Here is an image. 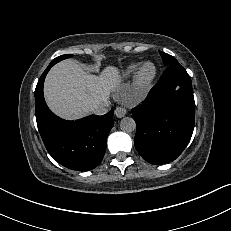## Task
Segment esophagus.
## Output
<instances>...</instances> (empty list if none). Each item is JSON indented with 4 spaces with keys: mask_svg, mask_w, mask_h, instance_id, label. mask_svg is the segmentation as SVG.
Segmentation results:
<instances>
[{
    "mask_svg": "<svg viewBox=\"0 0 231 231\" xmlns=\"http://www.w3.org/2000/svg\"><path fill=\"white\" fill-rule=\"evenodd\" d=\"M116 117L122 118L127 114V109L125 107H117L114 111Z\"/></svg>",
    "mask_w": 231,
    "mask_h": 231,
    "instance_id": "34e87169",
    "label": "esophagus"
}]
</instances>
